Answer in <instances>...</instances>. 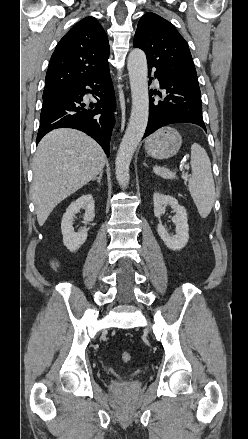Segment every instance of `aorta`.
Listing matches in <instances>:
<instances>
[{
  "label": "aorta",
  "mask_w": 248,
  "mask_h": 439,
  "mask_svg": "<svg viewBox=\"0 0 248 439\" xmlns=\"http://www.w3.org/2000/svg\"><path fill=\"white\" fill-rule=\"evenodd\" d=\"M131 87L132 109L128 127L121 141L116 161L117 181L126 186L129 182V166L132 156L141 141L149 116L147 59L141 49H133L127 59Z\"/></svg>",
  "instance_id": "762f6f07"
}]
</instances>
